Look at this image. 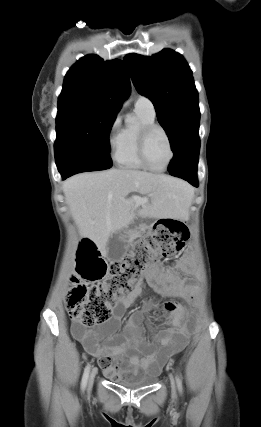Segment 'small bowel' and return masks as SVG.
Returning a JSON list of instances; mask_svg holds the SVG:
<instances>
[{
  "instance_id": "c3829d8e",
  "label": "small bowel",
  "mask_w": 261,
  "mask_h": 427,
  "mask_svg": "<svg viewBox=\"0 0 261 427\" xmlns=\"http://www.w3.org/2000/svg\"><path fill=\"white\" fill-rule=\"evenodd\" d=\"M193 271V262L190 256L185 254L168 268L154 264L146 273V282L157 293L174 291L192 301L194 293L190 279L182 274ZM141 293L142 286L138 285L119 299L114 305L111 319L98 329L72 326L74 338L90 355L98 358L99 366L109 377L133 379L143 374H159L168 358L187 344L189 327L183 324L188 319L186 311L183 308L174 310L170 315V326L157 329L148 315L155 306L151 300L146 301L142 309L128 317L122 333L113 332L121 322L124 310L129 308ZM143 323H146L153 333L151 340L144 337ZM101 341L103 344H100ZM143 349L150 350V353L139 356L136 352ZM122 356H129L131 367L119 370L115 367L114 360Z\"/></svg>"
}]
</instances>
